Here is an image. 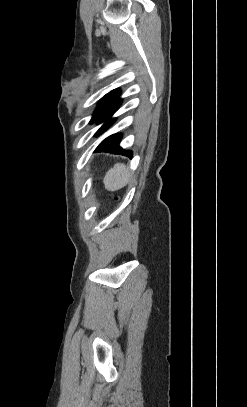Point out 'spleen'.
Here are the masks:
<instances>
[{"mask_svg":"<svg viewBox=\"0 0 247 407\" xmlns=\"http://www.w3.org/2000/svg\"><path fill=\"white\" fill-rule=\"evenodd\" d=\"M131 178L128 167L121 163H116L112 169H110L105 178L104 184L107 190L115 191L125 187Z\"/></svg>","mask_w":247,"mask_h":407,"instance_id":"3e777b00","label":"spleen"}]
</instances>
